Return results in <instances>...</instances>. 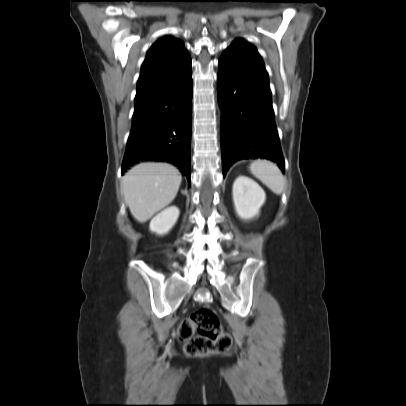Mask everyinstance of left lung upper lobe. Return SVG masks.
Wrapping results in <instances>:
<instances>
[{
  "label": "left lung upper lobe",
  "mask_w": 406,
  "mask_h": 406,
  "mask_svg": "<svg viewBox=\"0 0 406 406\" xmlns=\"http://www.w3.org/2000/svg\"><path fill=\"white\" fill-rule=\"evenodd\" d=\"M226 51L243 54V55L249 57L250 59L255 60V61L261 63L262 65H264L256 48L254 46H252L251 44L247 43L243 39L234 40Z\"/></svg>",
  "instance_id": "1"
}]
</instances>
